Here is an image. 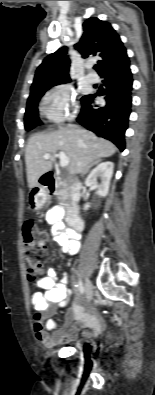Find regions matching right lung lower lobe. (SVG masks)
Here are the masks:
<instances>
[{
  "label": "right lung lower lobe",
  "instance_id": "1",
  "mask_svg": "<svg viewBox=\"0 0 155 395\" xmlns=\"http://www.w3.org/2000/svg\"><path fill=\"white\" fill-rule=\"evenodd\" d=\"M108 90L86 95L81 99V113L77 121L98 136L112 141L121 151L125 149L124 135L132 104V73L130 63L111 68L100 75ZM104 96L106 104L98 106L94 98Z\"/></svg>",
  "mask_w": 155,
  "mask_h": 395
}]
</instances>
